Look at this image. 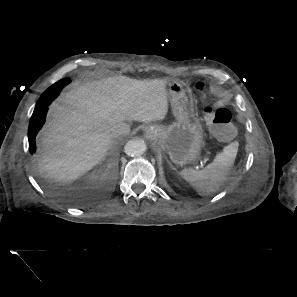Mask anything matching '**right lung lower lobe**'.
Instances as JSON below:
<instances>
[{"label":"right lung lower lobe","mask_w":297,"mask_h":297,"mask_svg":"<svg viewBox=\"0 0 297 297\" xmlns=\"http://www.w3.org/2000/svg\"><path fill=\"white\" fill-rule=\"evenodd\" d=\"M53 100L54 99H39L36 104L28 129L29 150L31 154L36 151L35 137L45 122L48 106Z\"/></svg>","instance_id":"98d812e1"}]
</instances>
